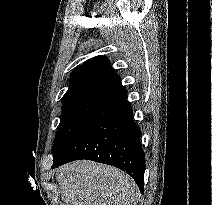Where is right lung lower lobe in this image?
Listing matches in <instances>:
<instances>
[{
	"label": "right lung lower lobe",
	"mask_w": 212,
	"mask_h": 205,
	"mask_svg": "<svg viewBox=\"0 0 212 205\" xmlns=\"http://www.w3.org/2000/svg\"><path fill=\"white\" fill-rule=\"evenodd\" d=\"M88 159L126 171L143 193L145 158L140 128L132 118L127 91L120 81L101 96L94 112L64 151L53 159L52 168Z\"/></svg>",
	"instance_id": "98d812e1"
}]
</instances>
